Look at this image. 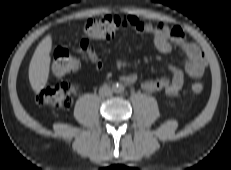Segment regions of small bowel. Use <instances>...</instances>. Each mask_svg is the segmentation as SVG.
I'll return each instance as SVG.
<instances>
[{
    "mask_svg": "<svg viewBox=\"0 0 231 170\" xmlns=\"http://www.w3.org/2000/svg\"><path fill=\"white\" fill-rule=\"evenodd\" d=\"M121 28L132 29L141 37H151L155 47L162 53H169L172 51L173 46H177L187 58L184 67L169 66L171 78L162 77L142 81L141 88L143 90L150 93L164 92L168 95H175L181 90L186 77L198 78L203 74L206 67L204 55L196 44L186 40L181 27H169L163 23L153 25L143 23L135 16H125L123 17ZM80 46L89 60L100 67L101 62L92 48L88 37L81 39ZM121 80L127 84H134L137 81V77L134 74H129L122 76Z\"/></svg>",
    "mask_w": 231,
    "mask_h": 170,
    "instance_id": "c3829d8e",
    "label": "small bowel"
}]
</instances>
